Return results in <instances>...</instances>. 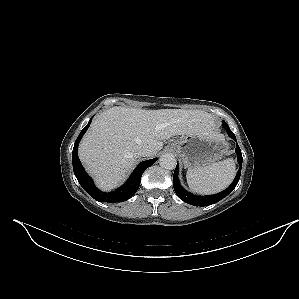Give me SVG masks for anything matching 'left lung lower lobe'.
I'll return each mask as SVG.
<instances>
[{
	"mask_svg": "<svg viewBox=\"0 0 299 299\" xmlns=\"http://www.w3.org/2000/svg\"><path fill=\"white\" fill-rule=\"evenodd\" d=\"M222 124H223V127L226 129L229 137H231L232 139H234L237 142L236 137L231 132L229 126L225 122H223ZM236 153L238 156V162L240 165V169H239L234 181L231 183V185L227 189L223 190L220 193L214 194V195L197 196V195H193L190 192H187L185 189H183V187H181L179 179H178V164H177L176 169L174 171V175H173V187H174V190H175L177 196L180 197L184 202L194 205V206L211 205V204L217 203L218 201H220L221 199L226 197L236 187V185L239 181V178H240V174H241L242 154H241V150H240L238 144L236 145Z\"/></svg>",
	"mask_w": 299,
	"mask_h": 299,
	"instance_id": "obj_1",
	"label": "left lung lower lobe"
}]
</instances>
